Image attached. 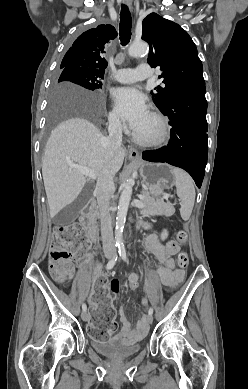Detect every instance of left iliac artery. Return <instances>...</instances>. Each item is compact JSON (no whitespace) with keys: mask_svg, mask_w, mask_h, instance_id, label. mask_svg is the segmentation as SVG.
<instances>
[{"mask_svg":"<svg viewBox=\"0 0 248 389\" xmlns=\"http://www.w3.org/2000/svg\"><path fill=\"white\" fill-rule=\"evenodd\" d=\"M119 254H120V257L124 260V261H128L127 260V256H126V250H125V247L122 245L119 247ZM148 314L149 315H152L153 314V308H149L148 310Z\"/></svg>","mask_w":248,"mask_h":389,"instance_id":"1","label":"left iliac artery"}]
</instances>
